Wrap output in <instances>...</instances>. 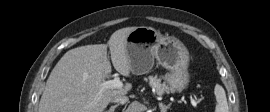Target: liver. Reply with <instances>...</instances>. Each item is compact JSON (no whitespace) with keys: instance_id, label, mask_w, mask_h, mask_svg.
<instances>
[{"instance_id":"liver-1","label":"liver","mask_w":270,"mask_h":112,"mask_svg":"<svg viewBox=\"0 0 270 112\" xmlns=\"http://www.w3.org/2000/svg\"><path fill=\"white\" fill-rule=\"evenodd\" d=\"M136 28L115 31L107 45H86L66 52L47 79L39 112H104L114 96L126 95L132 88L131 83L118 89L102 86L112 71L107 47L116 71L130 76L127 37Z\"/></svg>"}]
</instances>
